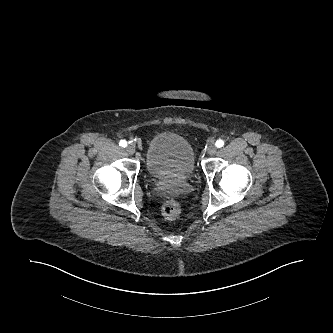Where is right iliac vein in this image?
I'll return each mask as SVG.
<instances>
[{
    "label": "right iliac vein",
    "instance_id": "63e3f726",
    "mask_svg": "<svg viewBox=\"0 0 333 333\" xmlns=\"http://www.w3.org/2000/svg\"><path fill=\"white\" fill-rule=\"evenodd\" d=\"M125 150L128 154L133 155L136 151V146L133 143H130Z\"/></svg>",
    "mask_w": 333,
    "mask_h": 333
}]
</instances>
